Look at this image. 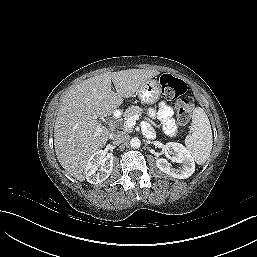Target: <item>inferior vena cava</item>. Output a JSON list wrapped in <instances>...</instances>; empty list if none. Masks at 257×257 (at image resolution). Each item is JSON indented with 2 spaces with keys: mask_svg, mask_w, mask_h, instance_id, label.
<instances>
[{
  "mask_svg": "<svg viewBox=\"0 0 257 257\" xmlns=\"http://www.w3.org/2000/svg\"><path fill=\"white\" fill-rule=\"evenodd\" d=\"M128 139H129V136L127 134L123 132L117 133L113 137V144L115 145L124 144L128 141Z\"/></svg>",
  "mask_w": 257,
  "mask_h": 257,
  "instance_id": "602c4592",
  "label": "inferior vena cava"
}]
</instances>
